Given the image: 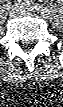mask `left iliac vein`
<instances>
[{"mask_svg": "<svg viewBox=\"0 0 63 107\" xmlns=\"http://www.w3.org/2000/svg\"><path fill=\"white\" fill-rule=\"evenodd\" d=\"M16 10L20 14H34V11L28 6H16Z\"/></svg>", "mask_w": 63, "mask_h": 107, "instance_id": "obj_1", "label": "left iliac vein"}]
</instances>
